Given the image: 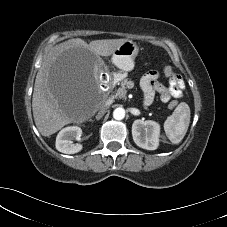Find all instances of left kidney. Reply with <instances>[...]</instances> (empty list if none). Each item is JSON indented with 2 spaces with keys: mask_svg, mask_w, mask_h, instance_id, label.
Masks as SVG:
<instances>
[{
  "mask_svg": "<svg viewBox=\"0 0 227 227\" xmlns=\"http://www.w3.org/2000/svg\"><path fill=\"white\" fill-rule=\"evenodd\" d=\"M132 136L137 146L146 150H155L159 146L160 125L152 120H135Z\"/></svg>",
  "mask_w": 227,
  "mask_h": 227,
  "instance_id": "obj_1",
  "label": "left kidney"
}]
</instances>
